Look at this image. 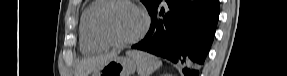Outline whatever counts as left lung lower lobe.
<instances>
[{
    "mask_svg": "<svg viewBox=\"0 0 287 76\" xmlns=\"http://www.w3.org/2000/svg\"><path fill=\"white\" fill-rule=\"evenodd\" d=\"M169 11L157 5L145 38L132 46L184 65L198 76L211 47L219 17V0H166Z\"/></svg>",
    "mask_w": 287,
    "mask_h": 76,
    "instance_id": "left-lung-lower-lobe-1",
    "label": "left lung lower lobe"
}]
</instances>
